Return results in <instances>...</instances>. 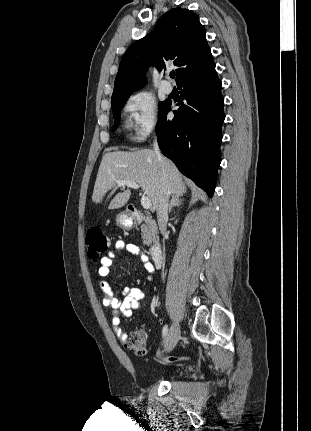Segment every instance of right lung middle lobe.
Wrapping results in <instances>:
<instances>
[{
    "mask_svg": "<svg viewBox=\"0 0 311 431\" xmlns=\"http://www.w3.org/2000/svg\"><path fill=\"white\" fill-rule=\"evenodd\" d=\"M129 96L130 95L120 96V97L112 99V107L114 108L113 113H114V119H115V124L113 126V130H115L119 124L120 116H121V109L123 108L124 103L129 98ZM168 104H169V102L167 100L164 102H160L159 103V113L162 112Z\"/></svg>",
    "mask_w": 311,
    "mask_h": 431,
    "instance_id": "1",
    "label": "right lung middle lobe"
}]
</instances>
